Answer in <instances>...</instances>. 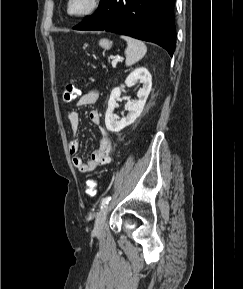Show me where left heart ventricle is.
<instances>
[{
  "mask_svg": "<svg viewBox=\"0 0 243 289\" xmlns=\"http://www.w3.org/2000/svg\"><path fill=\"white\" fill-rule=\"evenodd\" d=\"M89 4V0H73L71 4V9L74 12H79L84 10Z\"/></svg>",
  "mask_w": 243,
  "mask_h": 289,
  "instance_id": "left-heart-ventricle-1",
  "label": "left heart ventricle"
}]
</instances>
